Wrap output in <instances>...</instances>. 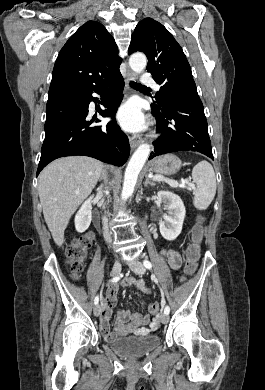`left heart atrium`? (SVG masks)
Returning <instances> with one entry per match:
<instances>
[{
  "mask_svg": "<svg viewBox=\"0 0 265 390\" xmlns=\"http://www.w3.org/2000/svg\"><path fill=\"white\" fill-rule=\"evenodd\" d=\"M117 119L124 129L132 132L141 131L146 126L144 116L135 102L123 105L118 111Z\"/></svg>",
  "mask_w": 265,
  "mask_h": 390,
  "instance_id": "left-heart-atrium-1",
  "label": "left heart atrium"
}]
</instances>
